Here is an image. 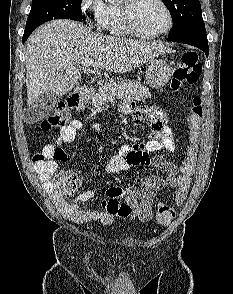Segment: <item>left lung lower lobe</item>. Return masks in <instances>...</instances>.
Instances as JSON below:
<instances>
[{
  "mask_svg": "<svg viewBox=\"0 0 233 294\" xmlns=\"http://www.w3.org/2000/svg\"><path fill=\"white\" fill-rule=\"evenodd\" d=\"M172 42L189 44V45L198 47L199 49L204 51L206 56H208V54H209V46H208L207 37L189 36V37L175 39Z\"/></svg>",
  "mask_w": 233,
  "mask_h": 294,
  "instance_id": "left-lung-lower-lobe-1",
  "label": "left lung lower lobe"
}]
</instances>
